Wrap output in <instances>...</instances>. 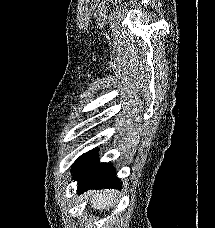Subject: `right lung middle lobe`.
<instances>
[{"label": "right lung middle lobe", "instance_id": "right-lung-middle-lobe-1", "mask_svg": "<svg viewBox=\"0 0 215 228\" xmlns=\"http://www.w3.org/2000/svg\"><path fill=\"white\" fill-rule=\"evenodd\" d=\"M98 155V151L95 150H91L83 155H81L73 164L72 166V172H75L76 170H78L79 168H81L83 165H85L86 163H88L90 160H92L93 158H95Z\"/></svg>", "mask_w": 215, "mask_h": 228}]
</instances>
